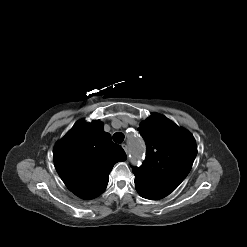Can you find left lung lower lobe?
<instances>
[{
    "mask_svg": "<svg viewBox=\"0 0 247 247\" xmlns=\"http://www.w3.org/2000/svg\"><path fill=\"white\" fill-rule=\"evenodd\" d=\"M135 187H136L137 192H138V193L140 194V196H142L143 198L150 199V200H157V199H158V198H156V197H154V196H152V195H150V194L144 192L141 188H139V187H137V186H135Z\"/></svg>",
    "mask_w": 247,
    "mask_h": 247,
    "instance_id": "1",
    "label": "left lung lower lobe"
}]
</instances>
